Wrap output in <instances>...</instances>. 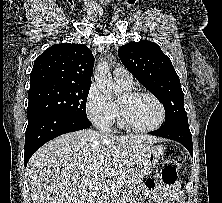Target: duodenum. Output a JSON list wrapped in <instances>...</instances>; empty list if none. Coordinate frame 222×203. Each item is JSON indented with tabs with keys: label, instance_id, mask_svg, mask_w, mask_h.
<instances>
[{
	"label": "duodenum",
	"instance_id": "duodenum-1",
	"mask_svg": "<svg viewBox=\"0 0 222 203\" xmlns=\"http://www.w3.org/2000/svg\"><path fill=\"white\" fill-rule=\"evenodd\" d=\"M98 197L95 193L91 194L88 203H97Z\"/></svg>",
	"mask_w": 222,
	"mask_h": 203
}]
</instances>
